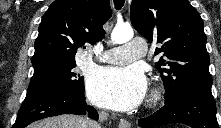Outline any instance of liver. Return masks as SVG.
Returning <instances> with one entry per match:
<instances>
[{"instance_id":"obj_1","label":"liver","mask_w":221,"mask_h":128,"mask_svg":"<svg viewBox=\"0 0 221 128\" xmlns=\"http://www.w3.org/2000/svg\"><path fill=\"white\" fill-rule=\"evenodd\" d=\"M87 122L88 120L83 117L65 114L43 119L29 125L28 128H85Z\"/></svg>"}]
</instances>
